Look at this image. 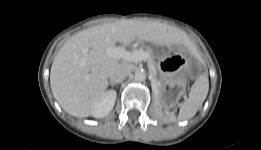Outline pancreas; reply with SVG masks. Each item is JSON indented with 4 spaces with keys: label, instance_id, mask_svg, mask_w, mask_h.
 <instances>
[{
    "label": "pancreas",
    "instance_id": "obj_1",
    "mask_svg": "<svg viewBox=\"0 0 261 150\" xmlns=\"http://www.w3.org/2000/svg\"><path fill=\"white\" fill-rule=\"evenodd\" d=\"M143 51H145L147 53L148 59L146 61L148 63V66L151 68L152 73L155 75L156 71H157L156 62L154 61V59H153V57L150 53V50L146 49V50H143Z\"/></svg>",
    "mask_w": 261,
    "mask_h": 150
}]
</instances>
